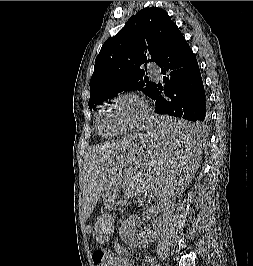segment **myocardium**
Wrapping results in <instances>:
<instances>
[{"instance_id":"f54148a6","label":"myocardium","mask_w":253,"mask_h":266,"mask_svg":"<svg viewBox=\"0 0 253 266\" xmlns=\"http://www.w3.org/2000/svg\"><path fill=\"white\" fill-rule=\"evenodd\" d=\"M125 98L134 99L140 104L141 111H140L139 115L136 117V119L130 125H128L126 128H124L118 132H115V133L110 134V135H105V134L101 133V131L99 129V119H100V116H101L102 112L104 111V109H106L111 104H113V103H115L121 99H125ZM149 112H150V103H149L148 99L143 94L138 93V92H134V91L122 92V93L118 94L117 96L113 97L112 99H110L108 102H106L100 108V110L97 113L96 120H95V129H96L98 135L103 137V138L116 137V136L127 133V132L133 130L134 128L138 127L147 118Z\"/></svg>"}]
</instances>
